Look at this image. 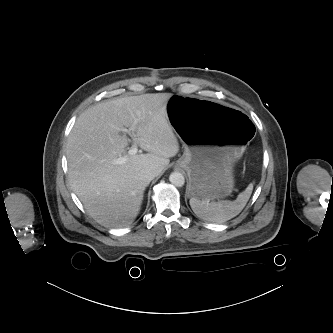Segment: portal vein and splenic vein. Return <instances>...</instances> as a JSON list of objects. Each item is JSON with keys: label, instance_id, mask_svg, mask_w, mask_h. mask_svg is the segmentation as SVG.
I'll use <instances>...</instances> for the list:
<instances>
[{"label": "portal vein and splenic vein", "instance_id": "18ae733b", "mask_svg": "<svg viewBox=\"0 0 333 333\" xmlns=\"http://www.w3.org/2000/svg\"><path fill=\"white\" fill-rule=\"evenodd\" d=\"M122 132L128 133L133 138V140L136 139L135 135L131 133V129L123 128ZM137 151H138L137 142H134V145L129 149L128 154L135 155L137 153ZM127 160H128L127 156H121V157L117 158L116 160H114V164L121 165V164H124Z\"/></svg>", "mask_w": 333, "mask_h": 333}]
</instances>
